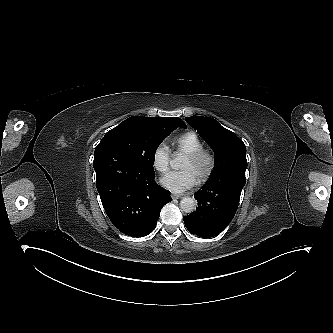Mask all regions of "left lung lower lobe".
Wrapping results in <instances>:
<instances>
[{"instance_id":"1","label":"left lung lower lobe","mask_w":333,"mask_h":333,"mask_svg":"<svg viewBox=\"0 0 333 333\" xmlns=\"http://www.w3.org/2000/svg\"><path fill=\"white\" fill-rule=\"evenodd\" d=\"M245 182V175L228 183L222 178L208 181L201 191L194 194L198 202L196 211L183 217L186 228L205 238L222 232L237 211Z\"/></svg>"}]
</instances>
